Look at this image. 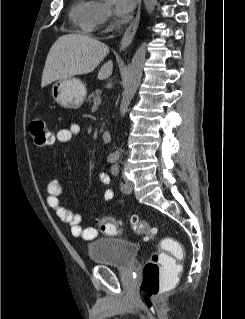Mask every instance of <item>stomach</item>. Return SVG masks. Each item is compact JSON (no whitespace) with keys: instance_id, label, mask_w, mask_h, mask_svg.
<instances>
[{"instance_id":"stomach-1","label":"stomach","mask_w":245,"mask_h":319,"mask_svg":"<svg viewBox=\"0 0 245 319\" xmlns=\"http://www.w3.org/2000/svg\"><path fill=\"white\" fill-rule=\"evenodd\" d=\"M87 90L85 84L77 78L58 80L51 89L56 103L64 108L77 109L84 103Z\"/></svg>"}]
</instances>
